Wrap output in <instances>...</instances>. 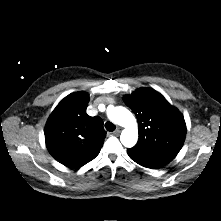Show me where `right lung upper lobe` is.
<instances>
[{
	"instance_id": "right-lung-upper-lobe-1",
	"label": "right lung upper lobe",
	"mask_w": 221,
	"mask_h": 221,
	"mask_svg": "<svg viewBox=\"0 0 221 221\" xmlns=\"http://www.w3.org/2000/svg\"><path fill=\"white\" fill-rule=\"evenodd\" d=\"M89 95L76 92L65 97L54 109L45 126L50 154L69 168H79L100 152L106 132L100 117L87 115Z\"/></svg>"
}]
</instances>
